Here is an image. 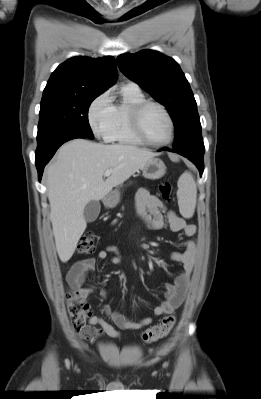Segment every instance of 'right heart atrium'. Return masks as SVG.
Instances as JSON below:
<instances>
[{"mask_svg": "<svg viewBox=\"0 0 261 399\" xmlns=\"http://www.w3.org/2000/svg\"><path fill=\"white\" fill-rule=\"evenodd\" d=\"M88 122L96 137L109 140L113 122V103L108 92L100 94L92 101L88 109Z\"/></svg>", "mask_w": 261, "mask_h": 399, "instance_id": "1", "label": "right heart atrium"}]
</instances>
